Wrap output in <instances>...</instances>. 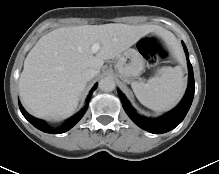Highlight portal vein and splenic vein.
Listing matches in <instances>:
<instances>
[{"instance_id": "18ae733b", "label": "portal vein and splenic vein", "mask_w": 219, "mask_h": 174, "mask_svg": "<svg viewBox=\"0 0 219 174\" xmlns=\"http://www.w3.org/2000/svg\"><path fill=\"white\" fill-rule=\"evenodd\" d=\"M100 49V45L98 43L93 44L91 50L93 53H96Z\"/></svg>"}]
</instances>
